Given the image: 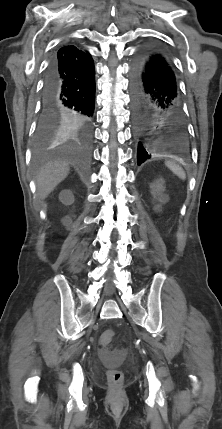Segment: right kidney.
Masks as SVG:
<instances>
[{"label":"right kidney","instance_id":"right-kidney-1","mask_svg":"<svg viewBox=\"0 0 222 429\" xmlns=\"http://www.w3.org/2000/svg\"><path fill=\"white\" fill-rule=\"evenodd\" d=\"M60 201L65 205H71L74 202V195L70 190H63L59 195ZM64 226L70 228L72 225V219L70 216H66L62 219Z\"/></svg>","mask_w":222,"mask_h":429}]
</instances>
